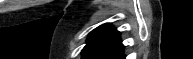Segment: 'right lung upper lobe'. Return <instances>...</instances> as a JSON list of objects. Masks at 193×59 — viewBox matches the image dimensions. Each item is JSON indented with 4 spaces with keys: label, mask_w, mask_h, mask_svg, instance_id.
I'll use <instances>...</instances> for the list:
<instances>
[{
    "label": "right lung upper lobe",
    "mask_w": 193,
    "mask_h": 59,
    "mask_svg": "<svg viewBox=\"0 0 193 59\" xmlns=\"http://www.w3.org/2000/svg\"><path fill=\"white\" fill-rule=\"evenodd\" d=\"M119 34L110 24L93 30L82 50V59H125Z\"/></svg>",
    "instance_id": "right-lung-upper-lobe-1"
}]
</instances>
